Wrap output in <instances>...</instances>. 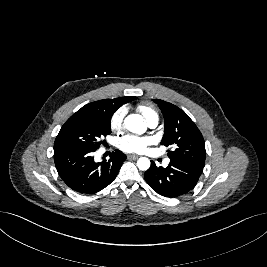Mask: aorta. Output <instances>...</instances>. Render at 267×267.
<instances>
[{
  "label": "aorta",
  "mask_w": 267,
  "mask_h": 267,
  "mask_svg": "<svg viewBox=\"0 0 267 267\" xmlns=\"http://www.w3.org/2000/svg\"><path fill=\"white\" fill-rule=\"evenodd\" d=\"M124 125L132 133L143 134L146 131V123L138 114L128 115L124 120ZM150 164V160L147 157H141L137 161V167L142 171L148 170Z\"/></svg>",
  "instance_id": "aorta-1"
}]
</instances>
